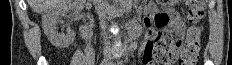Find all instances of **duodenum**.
<instances>
[{
	"mask_svg": "<svg viewBox=\"0 0 232 65\" xmlns=\"http://www.w3.org/2000/svg\"><path fill=\"white\" fill-rule=\"evenodd\" d=\"M83 32H84V35H85V36H89V35H90V29H89L88 25H86V26L83 28Z\"/></svg>",
	"mask_w": 232,
	"mask_h": 65,
	"instance_id": "obj_1",
	"label": "duodenum"
}]
</instances>
